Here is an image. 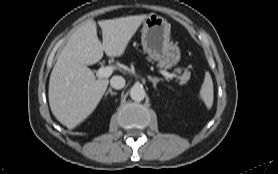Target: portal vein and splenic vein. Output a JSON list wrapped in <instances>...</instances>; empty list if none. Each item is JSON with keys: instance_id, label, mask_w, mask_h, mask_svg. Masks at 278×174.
<instances>
[{"instance_id": "1", "label": "portal vein and splenic vein", "mask_w": 278, "mask_h": 174, "mask_svg": "<svg viewBox=\"0 0 278 174\" xmlns=\"http://www.w3.org/2000/svg\"><path fill=\"white\" fill-rule=\"evenodd\" d=\"M112 73H113V67L106 66V67L99 68V70L97 71V76H98V79H102V78H107V77L111 76ZM161 74L170 79L177 77L176 74L169 73L164 70L161 71Z\"/></svg>"}]
</instances>
